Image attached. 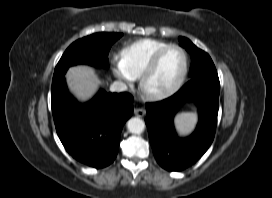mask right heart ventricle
<instances>
[{
    "instance_id": "obj_1",
    "label": "right heart ventricle",
    "mask_w": 272,
    "mask_h": 198,
    "mask_svg": "<svg viewBox=\"0 0 272 198\" xmlns=\"http://www.w3.org/2000/svg\"><path fill=\"white\" fill-rule=\"evenodd\" d=\"M169 44L156 39H142L123 48L121 59L128 70L139 77L152 57Z\"/></svg>"
}]
</instances>
